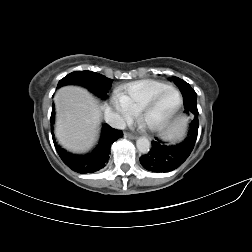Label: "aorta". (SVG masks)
<instances>
[{
    "instance_id": "1",
    "label": "aorta",
    "mask_w": 252,
    "mask_h": 252,
    "mask_svg": "<svg viewBox=\"0 0 252 252\" xmlns=\"http://www.w3.org/2000/svg\"><path fill=\"white\" fill-rule=\"evenodd\" d=\"M136 146L139 152L146 154L150 150V141L145 137H140L136 141Z\"/></svg>"
}]
</instances>
